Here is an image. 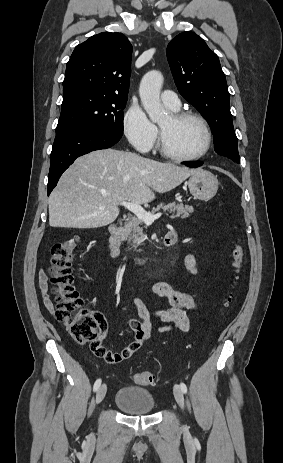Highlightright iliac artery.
Returning <instances> with one entry per match:
<instances>
[{
    "mask_svg": "<svg viewBox=\"0 0 283 463\" xmlns=\"http://www.w3.org/2000/svg\"><path fill=\"white\" fill-rule=\"evenodd\" d=\"M101 385V379H97L94 383V386H93V390L94 391H97V389L100 387Z\"/></svg>",
    "mask_w": 283,
    "mask_h": 463,
    "instance_id": "82829eb1",
    "label": "right iliac artery"
}]
</instances>
